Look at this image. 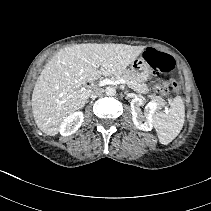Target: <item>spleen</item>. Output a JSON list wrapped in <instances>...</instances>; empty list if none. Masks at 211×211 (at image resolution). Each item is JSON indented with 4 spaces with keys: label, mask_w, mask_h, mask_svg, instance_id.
<instances>
[{
    "label": "spleen",
    "mask_w": 211,
    "mask_h": 211,
    "mask_svg": "<svg viewBox=\"0 0 211 211\" xmlns=\"http://www.w3.org/2000/svg\"><path fill=\"white\" fill-rule=\"evenodd\" d=\"M184 118L185 107L180 96L173 99L169 112L153 114L152 123L161 144L166 145L178 136L182 130Z\"/></svg>",
    "instance_id": "spleen-1"
}]
</instances>
